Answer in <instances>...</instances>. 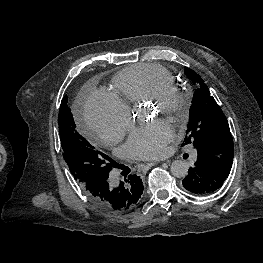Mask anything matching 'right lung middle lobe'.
<instances>
[{"label": "right lung middle lobe", "instance_id": "dd1d6c3e", "mask_svg": "<svg viewBox=\"0 0 263 263\" xmlns=\"http://www.w3.org/2000/svg\"><path fill=\"white\" fill-rule=\"evenodd\" d=\"M58 125L63 157L74 179L83 186L107 178L114 162L77 131L67 96L61 101Z\"/></svg>", "mask_w": 263, "mask_h": 263}]
</instances>
